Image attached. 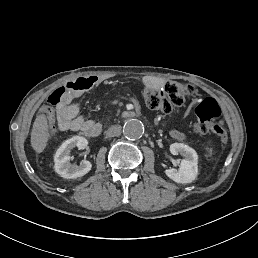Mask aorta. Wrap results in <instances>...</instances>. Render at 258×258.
<instances>
[{"mask_svg":"<svg viewBox=\"0 0 258 258\" xmlns=\"http://www.w3.org/2000/svg\"><path fill=\"white\" fill-rule=\"evenodd\" d=\"M123 134L130 140L140 139L144 134V125L138 119H130L123 126Z\"/></svg>","mask_w":258,"mask_h":258,"instance_id":"1","label":"aorta"}]
</instances>
